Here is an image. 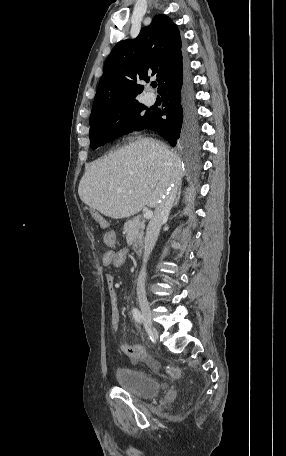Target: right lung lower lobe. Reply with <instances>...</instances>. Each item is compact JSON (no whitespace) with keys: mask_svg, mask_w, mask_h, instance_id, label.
Instances as JSON below:
<instances>
[{"mask_svg":"<svg viewBox=\"0 0 286 456\" xmlns=\"http://www.w3.org/2000/svg\"><path fill=\"white\" fill-rule=\"evenodd\" d=\"M160 95L164 109H155L147 129L162 135L172 146L186 141L197 127L194 91L188 71L175 82L167 85ZM166 118H162V116Z\"/></svg>","mask_w":286,"mask_h":456,"instance_id":"1","label":"right lung lower lobe"}]
</instances>
